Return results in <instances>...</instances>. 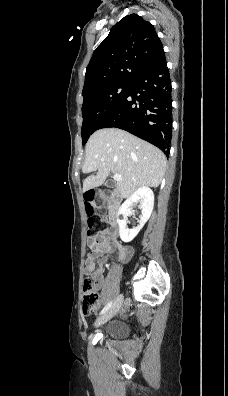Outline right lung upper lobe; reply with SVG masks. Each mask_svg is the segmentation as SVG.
I'll return each instance as SVG.
<instances>
[{
    "instance_id": "cb5924a9",
    "label": "right lung upper lobe",
    "mask_w": 228,
    "mask_h": 396,
    "mask_svg": "<svg viewBox=\"0 0 228 396\" xmlns=\"http://www.w3.org/2000/svg\"><path fill=\"white\" fill-rule=\"evenodd\" d=\"M161 47L152 24L137 14L125 16L94 51L83 95L110 84L132 82Z\"/></svg>"
}]
</instances>
